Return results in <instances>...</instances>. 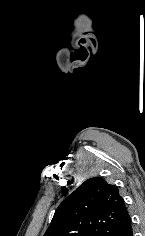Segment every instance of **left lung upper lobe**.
Segmentation results:
<instances>
[{
  "mask_svg": "<svg viewBox=\"0 0 145 236\" xmlns=\"http://www.w3.org/2000/svg\"><path fill=\"white\" fill-rule=\"evenodd\" d=\"M130 221L117 187L94 177L58 206L44 236H118Z\"/></svg>",
  "mask_w": 145,
  "mask_h": 236,
  "instance_id": "1",
  "label": "left lung upper lobe"
}]
</instances>
